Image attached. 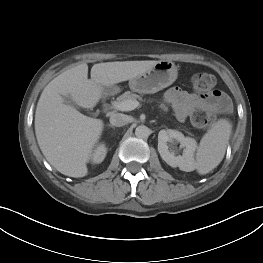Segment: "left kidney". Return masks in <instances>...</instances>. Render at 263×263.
I'll return each instance as SVG.
<instances>
[{"label": "left kidney", "instance_id": "left-kidney-1", "mask_svg": "<svg viewBox=\"0 0 263 263\" xmlns=\"http://www.w3.org/2000/svg\"><path fill=\"white\" fill-rule=\"evenodd\" d=\"M174 141L180 143L183 154L176 156L170 151L169 143ZM197 149L195 139L185 137L181 132L167 129L161 130L158 134V151L162 159L171 167H179L180 170L190 172L195 168L194 153Z\"/></svg>", "mask_w": 263, "mask_h": 263}]
</instances>
